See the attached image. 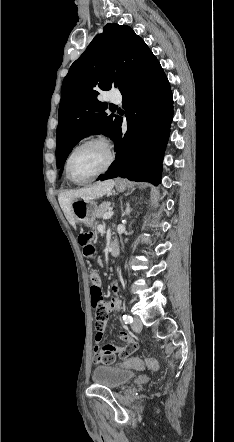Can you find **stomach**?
Instances as JSON below:
<instances>
[{
	"instance_id": "stomach-1",
	"label": "stomach",
	"mask_w": 234,
	"mask_h": 442,
	"mask_svg": "<svg viewBox=\"0 0 234 442\" xmlns=\"http://www.w3.org/2000/svg\"><path fill=\"white\" fill-rule=\"evenodd\" d=\"M116 189L123 192L126 189L125 182H117ZM74 219L77 223L92 227L96 218L97 204L92 200L76 199L71 204Z\"/></svg>"
}]
</instances>
